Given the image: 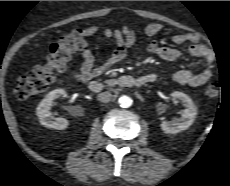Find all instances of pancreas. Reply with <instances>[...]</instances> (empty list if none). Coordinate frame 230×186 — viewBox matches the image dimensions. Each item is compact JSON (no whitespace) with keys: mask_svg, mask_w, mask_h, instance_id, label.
Masks as SVG:
<instances>
[{"mask_svg":"<svg viewBox=\"0 0 230 186\" xmlns=\"http://www.w3.org/2000/svg\"><path fill=\"white\" fill-rule=\"evenodd\" d=\"M118 80H116V79H108V80H106L105 81V83L107 84V85H109V86H113V85H116V84H118Z\"/></svg>","mask_w":230,"mask_h":186,"instance_id":"obj_1","label":"pancreas"}]
</instances>
